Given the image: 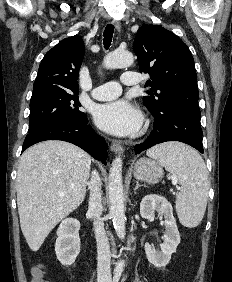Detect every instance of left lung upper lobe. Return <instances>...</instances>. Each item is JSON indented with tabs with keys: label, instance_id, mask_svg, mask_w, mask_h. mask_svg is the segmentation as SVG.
Segmentation results:
<instances>
[{
	"label": "left lung upper lobe",
	"instance_id": "obj_1",
	"mask_svg": "<svg viewBox=\"0 0 232 282\" xmlns=\"http://www.w3.org/2000/svg\"><path fill=\"white\" fill-rule=\"evenodd\" d=\"M133 50L139 69L151 77L152 88L143 104L158 111L176 98L198 99L194 59L187 45L174 33L159 25H144L138 29Z\"/></svg>",
	"mask_w": 232,
	"mask_h": 282
}]
</instances>
